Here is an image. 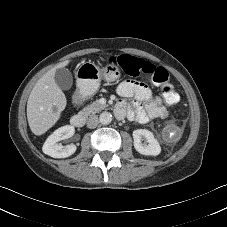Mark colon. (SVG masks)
<instances>
[{
	"label": "colon",
	"mask_w": 227,
	"mask_h": 227,
	"mask_svg": "<svg viewBox=\"0 0 227 227\" xmlns=\"http://www.w3.org/2000/svg\"><path fill=\"white\" fill-rule=\"evenodd\" d=\"M111 61L115 62V59ZM118 65L129 76H147L157 82L161 86V95L167 104L173 105L178 102L179 97L175 85L169 79L168 72L163 67L154 65L151 62L139 61L132 57L121 58Z\"/></svg>",
	"instance_id": "5ec220e1"
}]
</instances>
